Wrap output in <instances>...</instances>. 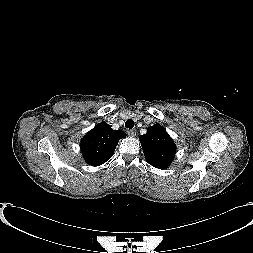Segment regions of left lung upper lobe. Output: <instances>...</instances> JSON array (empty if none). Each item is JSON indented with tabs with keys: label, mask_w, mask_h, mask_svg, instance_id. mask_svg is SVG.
I'll use <instances>...</instances> for the list:
<instances>
[{
	"label": "left lung upper lobe",
	"mask_w": 253,
	"mask_h": 253,
	"mask_svg": "<svg viewBox=\"0 0 253 253\" xmlns=\"http://www.w3.org/2000/svg\"><path fill=\"white\" fill-rule=\"evenodd\" d=\"M139 140L149 164L159 169L167 168L171 164L176 146L161 125L155 124L149 127L147 133L141 135Z\"/></svg>",
	"instance_id": "obj_1"
}]
</instances>
